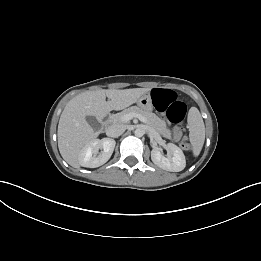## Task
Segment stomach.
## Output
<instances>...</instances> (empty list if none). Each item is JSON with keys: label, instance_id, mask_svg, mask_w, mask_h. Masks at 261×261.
<instances>
[{"label": "stomach", "instance_id": "obj_1", "mask_svg": "<svg viewBox=\"0 0 261 261\" xmlns=\"http://www.w3.org/2000/svg\"><path fill=\"white\" fill-rule=\"evenodd\" d=\"M137 105L144 111H151L153 109L152 99L149 93H145L137 101Z\"/></svg>", "mask_w": 261, "mask_h": 261}]
</instances>
